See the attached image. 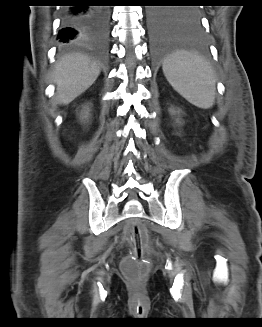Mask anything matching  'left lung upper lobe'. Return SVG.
Here are the masks:
<instances>
[{
    "label": "left lung upper lobe",
    "mask_w": 262,
    "mask_h": 327,
    "mask_svg": "<svg viewBox=\"0 0 262 327\" xmlns=\"http://www.w3.org/2000/svg\"><path fill=\"white\" fill-rule=\"evenodd\" d=\"M186 14L187 16H189L190 18H193L195 20L199 19V12L197 11V9H186Z\"/></svg>",
    "instance_id": "1"
}]
</instances>
